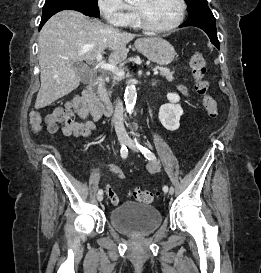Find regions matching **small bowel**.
<instances>
[{
  "label": "small bowel",
  "mask_w": 261,
  "mask_h": 273,
  "mask_svg": "<svg viewBox=\"0 0 261 273\" xmlns=\"http://www.w3.org/2000/svg\"><path fill=\"white\" fill-rule=\"evenodd\" d=\"M178 91L185 97L189 96L188 88L179 84ZM74 113L78 114L84 121L78 122L74 120ZM101 117V113L95 108L88 105L82 97H74L71 101L58 107L52 113L45 117L46 129L49 133H56L60 128L65 136L89 137L97 131L94 121ZM150 172H156L159 166L154 164L148 167ZM120 176V173H117ZM107 195L112 205L119 204L118 195L113 187H106Z\"/></svg>",
  "instance_id": "obj_1"
}]
</instances>
